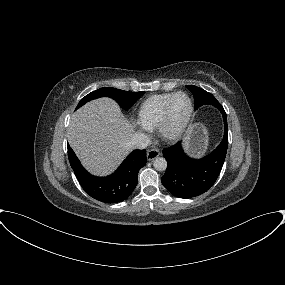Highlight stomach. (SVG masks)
<instances>
[{
    "label": "stomach",
    "instance_id": "0dacf381",
    "mask_svg": "<svg viewBox=\"0 0 285 285\" xmlns=\"http://www.w3.org/2000/svg\"><path fill=\"white\" fill-rule=\"evenodd\" d=\"M208 145L207 130L203 124L195 123L187 136V148L194 156L202 155Z\"/></svg>",
    "mask_w": 285,
    "mask_h": 285
}]
</instances>
